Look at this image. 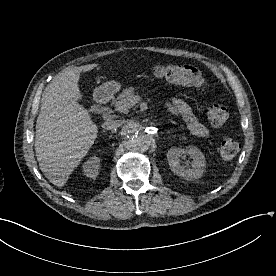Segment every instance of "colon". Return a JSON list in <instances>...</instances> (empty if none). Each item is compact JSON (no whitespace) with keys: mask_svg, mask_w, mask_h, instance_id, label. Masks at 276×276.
Here are the masks:
<instances>
[{"mask_svg":"<svg viewBox=\"0 0 276 276\" xmlns=\"http://www.w3.org/2000/svg\"><path fill=\"white\" fill-rule=\"evenodd\" d=\"M155 77L167 82L189 86L197 89L205 87V80L199 69L192 65H159L153 70ZM229 117L228 108L220 103H212L207 110V118L214 126L223 125ZM239 151V143L232 137H224L219 146V153L223 159L230 160Z\"/></svg>","mask_w":276,"mask_h":276,"instance_id":"colon-1","label":"colon"}]
</instances>
